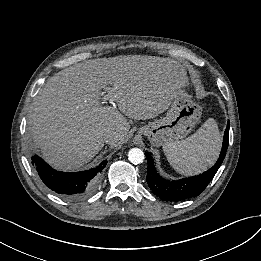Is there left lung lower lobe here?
<instances>
[{"mask_svg": "<svg viewBox=\"0 0 261 261\" xmlns=\"http://www.w3.org/2000/svg\"><path fill=\"white\" fill-rule=\"evenodd\" d=\"M228 144L229 121L224 132L221 153L216 164L203 174L175 181H169L161 177L156 171L151 155L145 153L148 161L146 180L150 189L156 196L164 201L177 202L198 196L204 191L218 171L225 158Z\"/></svg>", "mask_w": 261, "mask_h": 261, "instance_id": "left-lung-lower-lobe-1", "label": "left lung lower lobe"}]
</instances>
